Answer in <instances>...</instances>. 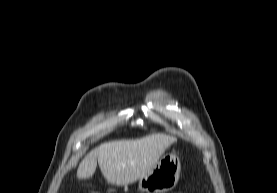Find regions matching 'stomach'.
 I'll list each match as a JSON object with an SVG mask.
<instances>
[{
  "instance_id": "stomach-1",
  "label": "stomach",
  "mask_w": 277,
  "mask_h": 193,
  "mask_svg": "<svg viewBox=\"0 0 277 193\" xmlns=\"http://www.w3.org/2000/svg\"><path fill=\"white\" fill-rule=\"evenodd\" d=\"M180 171L179 157L167 153L149 173L139 179L138 188L144 193H166L177 185Z\"/></svg>"
}]
</instances>
